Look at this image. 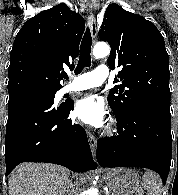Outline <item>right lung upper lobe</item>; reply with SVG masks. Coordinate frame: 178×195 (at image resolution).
<instances>
[{"label":"right lung upper lobe","instance_id":"obj_1","mask_svg":"<svg viewBox=\"0 0 178 195\" xmlns=\"http://www.w3.org/2000/svg\"><path fill=\"white\" fill-rule=\"evenodd\" d=\"M84 27L82 16L65 3L30 18L11 50L9 97L31 90H59L63 67H74Z\"/></svg>","mask_w":178,"mask_h":195}]
</instances>
